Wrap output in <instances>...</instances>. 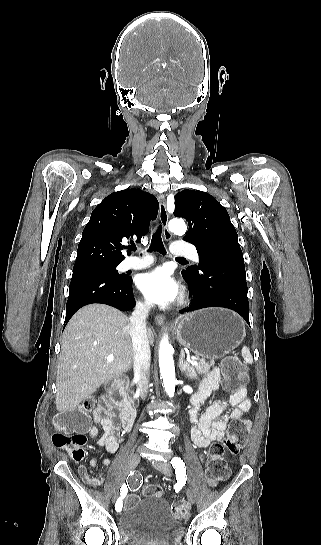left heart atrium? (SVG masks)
I'll return each mask as SVG.
<instances>
[{"label": "left heart atrium", "mask_w": 321, "mask_h": 545, "mask_svg": "<svg viewBox=\"0 0 321 545\" xmlns=\"http://www.w3.org/2000/svg\"><path fill=\"white\" fill-rule=\"evenodd\" d=\"M137 286L151 302L162 307L179 299L181 287L166 268H157L141 275Z\"/></svg>", "instance_id": "left-heart-atrium-1"}]
</instances>
